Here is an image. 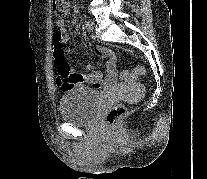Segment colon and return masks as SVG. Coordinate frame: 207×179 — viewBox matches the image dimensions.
Masks as SVG:
<instances>
[{"label":"colon","instance_id":"5ec220e1","mask_svg":"<svg viewBox=\"0 0 207 179\" xmlns=\"http://www.w3.org/2000/svg\"><path fill=\"white\" fill-rule=\"evenodd\" d=\"M53 10L57 16L63 17L68 9L67 0H52ZM54 47V66L56 70L58 86L63 91H68L79 82V76L71 73L70 66L64 56L63 35L56 30L53 33ZM144 67H136L133 70H123L122 78L124 81H132L145 74ZM127 114V109L123 104L114 105L106 114V122L109 126H117Z\"/></svg>","mask_w":207,"mask_h":179}]
</instances>
